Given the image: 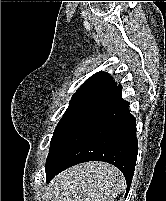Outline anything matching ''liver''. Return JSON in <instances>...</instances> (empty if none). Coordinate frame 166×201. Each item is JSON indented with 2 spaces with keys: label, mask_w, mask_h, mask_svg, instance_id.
Returning a JSON list of instances; mask_svg holds the SVG:
<instances>
[{
  "label": "liver",
  "mask_w": 166,
  "mask_h": 201,
  "mask_svg": "<svg viewBox=\"0 0 166 201\" xmlns=\"http://www.w3.org/2000/svg\"><path fill=\"white\" fill-rule=\"evenodd\" d=\"M49 186V201H114L125 178L108 163L87 162L61 172Z\"/></svg>",
  "instance_id": "1"
}]
</instances>
